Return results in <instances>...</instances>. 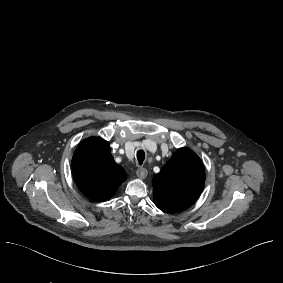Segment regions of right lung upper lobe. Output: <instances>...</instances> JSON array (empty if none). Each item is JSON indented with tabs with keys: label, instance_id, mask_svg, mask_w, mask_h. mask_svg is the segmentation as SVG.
Wrapping results in <instances>:
<instances>
[{
	"label": "right lung upper lobe",
	"instance_id": "cb5924a9",
	"mask_svg": "<svg viewBox=\"0 0 283 283\" xmlns=\"http://www.w3.org/2000/svg\"><path fill=\"white\" fill-rule=\"evenodd\" d=\"M72 170L80 191L96 202L109 199L126 180V172L114 161L109 143L100 137L87 138L78 145Z\"/></svg>",
	"mask_w": 283,
	"mask_h": 283
}]
</instances>
